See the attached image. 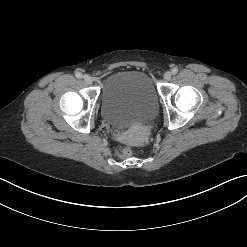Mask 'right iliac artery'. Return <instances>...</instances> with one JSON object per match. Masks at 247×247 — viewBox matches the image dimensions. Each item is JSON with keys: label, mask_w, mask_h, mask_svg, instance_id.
<instances>
[{"label": "right iliac artery", "mask_w": 247, "mask_h": 247, "mask_svg": "<svg viewBox=\"0 0 247 247\" xmlns=\"http://www.w3.org/2000/svg\"><path fill=\"white\" fill-rule=\"evenodd\" d=\"M75 76H76L77 78H82V73L76 72V73H75Z\"/></svg>", "instance_id": "obj_1"}]
</instances>
